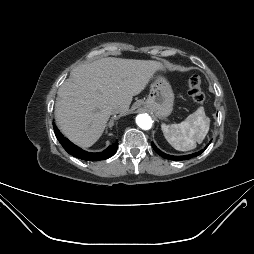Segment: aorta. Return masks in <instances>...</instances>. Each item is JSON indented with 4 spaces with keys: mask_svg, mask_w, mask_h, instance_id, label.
I'll list each match as a JSON object with an SVG mask.
<instances>
[{
    "mask_svg": "<svg viewBox=\"0 0 254 254\" xmlns=\"http://www.w3.org/2000/svg\"><path fill=\"white\" fill-rule=\"evenodd\" d=\"M137 125L143 130H149L152 127V119L148 114H140L136 117Z\"/></svg>",
    "mask_w": 254,
    "mask_h": 254,
    "instance_id": "762f6f07",
    "label": "aorta"
}]
</instances>
